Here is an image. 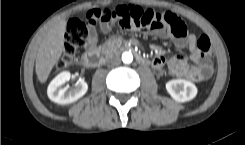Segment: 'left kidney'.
<instances>
[{"label":"left kidney","instance_id":"5707ae66","mask_svg":"<svg viewBox=\"0 0 245 145\" xmlns=\"http://www.w3.org/2000/svg\"><path fill=\"white\" fill-rule=\"evenodd\" d=\"M166 90L177 102H187L197 95V87L192 82L175 79L166 83Z\"/></svg>","mask_w":245,"mask_h":145}]
</instances>
